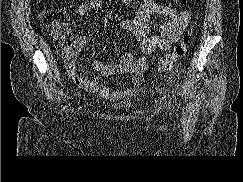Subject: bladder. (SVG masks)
<instances>
[{"mask_svg":"<svg viewBox=\"0 0 243 182\" xmlns=\"http://www.w3.org/2000/svg\"><path fill=\"white\" fill-rule=\"evenodd\" d=\"M131 107V102L128 100L120 101L111 106L113 110L116 111H125Z\"/></svg>","mask_w":243,"mask_h":182,"instance_id":"bladder-1","label":"bladder"}]
</instances>
